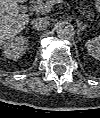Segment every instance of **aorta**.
Here are the masks:
<instances>
[{
    "mask_svg": "<svg viewBox=\"0 0 100 118\" xmlns=\"http://www.w3.org/2000/svg\"><path fill=\"white\" fill-rule=\"evenodd\" d=\"M56 33L58 37L68 38L74 34L73 25L66 21L59 22L56 25Z\"/></svg>",
    "mask_w": 100,
    "mask_h": 118,
    "instance_id": "762f6f07",
    "label": "aorta"
}]
</instances>
